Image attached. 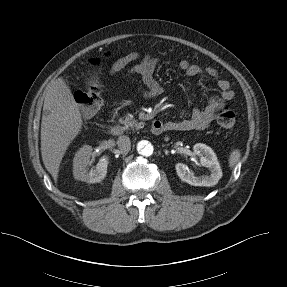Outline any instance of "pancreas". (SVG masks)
Returning a JSON list of instances; mask_svg holds the SVG:
<instances>
[{
	"mask_svg": "<svg viewBox=\"0 0 287 287\" xmlns=\"http://www.w3.org/2000/svg\"><path fill=\"white\" fill-rule=\"evenodd\" d=\"M119 122L124 125V129L132 128V129L139 130L144 127V123L138 122L137 120L133 118L132 115H127L125 116V118H120Z\"/></svg>",
	"mask_w": 287,
	"mask_h": 287,
	"instance_id": "pancreas-1",
	"label": "pancreas"
}]
</instances>
